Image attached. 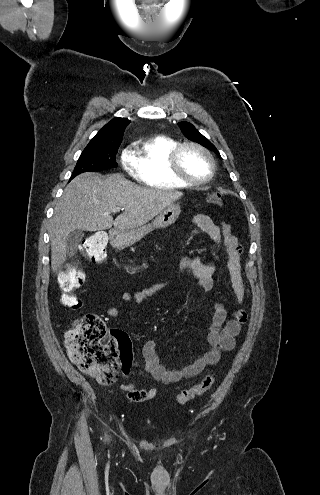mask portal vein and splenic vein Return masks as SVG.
Listing matches in <instances>:
<instances>
[{
	"mask_svg": "<svg viewBox=\"0 0 320 495\" xmlns=\"http://www.w3.org/2000/svg\"><path fill=\"white\" fill-rule=\"evenodd\" d=\"M124 208H121V207H116V208H113L112 211L113 212H120V211H123Z\"/></svg>",
	"mask_w": 320,
	"mask_h": 495,
	"instance_id": "18ae733b",
	"label": "portal vein and splenic vein"
}]
</instances>
